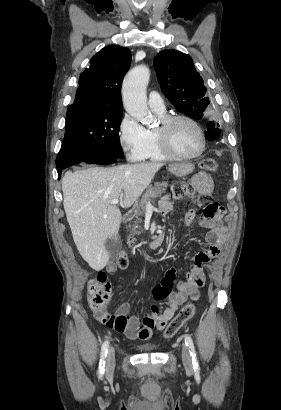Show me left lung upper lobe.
<instances>
[{
  "mask_svg": "<svg viewBox=\"0 0 281 410\" xmlns=\"http://www.w3.org/2000/svg\"><path fill=\"white\" fill-rule=\"evenodd\" d=\"M154 66L162 92L177 110L195 120L208 118L206 87L189 55L164 50L156 55ZM219 133L216 128L211 136L218 137Z\"/></svg>",
  "mask_w": 281,
  "mask_h": 410,
  "instance_id": "1",
  "label": "left lung upper lobe"
}]
</instances>
